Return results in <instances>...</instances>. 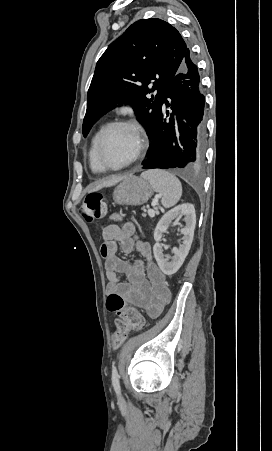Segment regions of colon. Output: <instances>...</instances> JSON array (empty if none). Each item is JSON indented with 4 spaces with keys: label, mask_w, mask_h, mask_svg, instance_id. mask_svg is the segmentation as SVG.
I'll use <instances>...</instances> for the list:
<instances>
[{
    "label": "colon",
    "mask_w": 272,
    "mask_h": 451,
    "mask_svg": "<svg viewBox=\"0 0 272 451\" xmlns=\"http://www.w3.org/2000/svg\"><path fill=\"white\" fill-rule=\"evenodd\" d=\"M80 216L87 224H93L101 220L105 214V200L100 192H91L86 195L78 209ZM105 306L108 313L117 314V333L120 337L126 336L131 330H139L145 323L140 313L131 306L126 305L123 298L119 295H112L105 299ZM122 341L120 338H111V347H120Z\"/></svg>",
    "instance_id": "obj_1"
}]
</instances>
